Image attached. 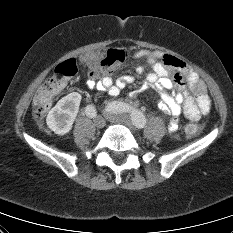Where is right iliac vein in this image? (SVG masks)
<instances>
[{"label": "right iliac vein", "instance_id": "right-iliac-vein-1", "mask_svg": "<svg viewBox=\"0 0 233 233\" xmlns=\"http://www.w3.org/2000/svg\"><path fill=\"white\" fill-rule=\"evenodd\" d=\"M94 124L97 128H103L105 126V119L102 116H97L94 119Z\"/></svg>", "mask_w": 233, "mask_h": 233}]
</instances>
